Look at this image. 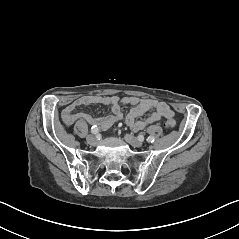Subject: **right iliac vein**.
Here are the masks:
<instances>
[{
  "label": "right iliac vein",
  "instance_id": "right-iliac-vein-1",
  "mask_svg": "<svg viewBox=\"0 0 239 239\" xmlns=\"http://www.w3.org/2000/svg\"><path fill=\"white\" fill-rule=\"evenodd\" d=\"M86 140H87L88 144H90L92 146H95L97 144V139L93 135H88Z\"/></svg>",
  "mask_w": 239,
  "mask_h": 239
}]
</instances>
